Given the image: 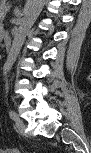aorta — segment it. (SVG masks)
<instances>
[{
    "mask_svg": "<svg viewBox=\"0 0 91 153\" xmlns=\"http://www.w3.org/2000/svg\"><path fill=\"white\" fill-rule=\"evenodd\" d=\"M44 2L45 0H28L27 1L26 7L24 9V17L20 23L18 32L16 33L14 37L10 52L7 57V61L4 66L5 76L8 75L14 62L16 61L30 28L32 27L33 23L35 22L40 12L42 11Z\"/></svg>",
    "mask_w": 91,
    "mask_h": 153,
    "instance_id": "1",
    "label": "aorta"
}]
</instances>
